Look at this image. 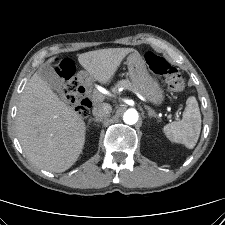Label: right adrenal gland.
<instances>
[{
	"label": "right adrenal gland",
	"instance_id": "right-adrenal-gland-1",
	"mask_svg": "<svg viewBox=\"0 0 225 225\" xmlns=\"http://www.w3.org/2000/svg\"><path fill=\"white\" fill-rule=\"evenodd\" d=\"M89 122L101 123L102 120H101V119H97V118H91V119L89 120Z\"/></svg>",
	"mask_w": 225,
	"mask_h": 225
}]
</instances>
